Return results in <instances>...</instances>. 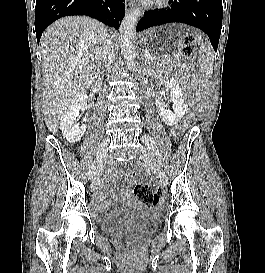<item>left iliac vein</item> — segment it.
Masks as SVG:
<instances>
[{
  "label": "left iliac vein",
  "mask_w": 265,
  "mask_h": 273,
  "mask_svg": "<svg viewBox=\"0 0 265 273\" xmlns=\"http://www.w3.org/2000/svg\"><path fill=\"white\" fill-rule=\"evenodd\" d=\"M143 137H146L148 139H152L148 135H143ZM142 137V138H143ZM156 146V144H155ZM141 159L151 168V170L157 175L159 178L161 184L163 186H166L168 183V178L164 170L161 168L160 164L157 162L155 157L151 154L149 149L147 147L142 148V154Z\"/></svg>",
  "instance_id": "4c4485c4"
}]
</instances>
